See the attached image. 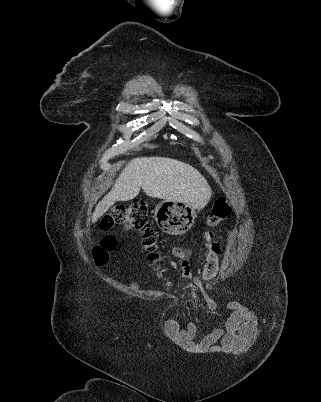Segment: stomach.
Listing matches in <instances>:
<instances>
[{
    "label": "stomach",
    "instance_id": "0dacf381",
    "mask_svg": "<svg viewBox=\"0 0 321 402\" xmlns=\"http://www.w3.org/2000/svg\"><path fill=\"white\" fill-rule=\"evenodd\" d=\"M196 209L187 203L163 200L157 204L154 218L161 230L170 235H182L193 225Z\"/></svg>",
    "mask_w": 321,
    "mask_h": 402
}]
</instances>
